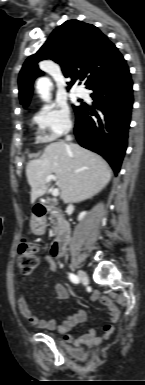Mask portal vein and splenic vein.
I'll use <instances>...</instances> for the list:
<instances>
[{"label":"portal vein and splenic vein","instance_id":"portal-vein-and-splenic-vein-1","mask_svg":"<svg viewBox=\"0 0 145 385\" xmlns=\"http://www.w3.org/2000/svg\"><path fill=\"white\" fill-rule=\"evenodd\" d=\"M46 180H47V181H52V180H53V181H56L57 178H56L55 175H48V176L46 177ZM52 195H53V196H58V195H59V189H58V188L53 189Z\"/></svg>","mask_w":145,"mask_h":385}]
</instances>
